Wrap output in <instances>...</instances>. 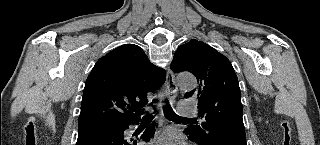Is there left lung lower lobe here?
<instances>
[{
  "mask_svg": "<svg viewBox=\"0 0 320 145\" xmlns=\"http://www.w3.org/2000/svg\"><path fill=\"white\" fill-rule=\"evenodd\" d=\"M185 132L188 133V128L185 129ZM189 138L198 143L199 145H203L193 139L192 137L189 136ZM211 145H246V137L235 135V134H229V133H224L219 135V137L216 139L215 142H213Z\"/></svg>",
  "mask_w": 320,
  "mask_h": 145,
  "instance_id": "1",
  "label": "left lung lower lobe"
}]
</instances>
